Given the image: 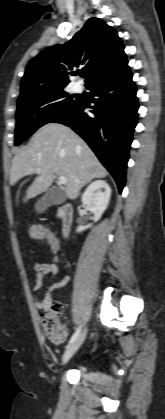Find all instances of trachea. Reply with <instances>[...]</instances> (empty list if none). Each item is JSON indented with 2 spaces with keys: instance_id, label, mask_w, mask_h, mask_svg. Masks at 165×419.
Wrapping results in <instances>:
<instances>
[{
  "instance_id": "obj_1",
  "label": "trachea",
  "mask_w": 165,
  "mask_h": 419,
  "mask_svg": "<svg viewBox=\"0 0 165 419\" xmlns=\"http://www.w3.org/2000/svg\"><path fill=\"white\" fill-rule=\"evenodd\" d=\"M81 76H82V77H84V76H85V73H84V72H83V73H81Z\"/></svg>"
}]
</instances>
